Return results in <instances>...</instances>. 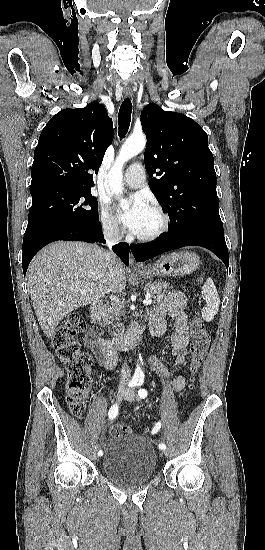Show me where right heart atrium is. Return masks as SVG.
Returning a JSON list of instances; mask_svg holds the SVG:
<instances>
[{
	"label": "right heart atrium",
	"mask_w": 265,
	"mask_h": 550,
	"mask_svg": "<svg viewBox=\"0 0 265 550\" xmlns=\"http://www.w3.org/2000/svg\"><path fill=\"white\" fill-rule=\"evenodd\" d=\"M100 223L105 233L111 237H118L121 233L117 219L111 214L107 204L102 203L100 208Z\"/></svg>",
	"instance_id": "1"
}]
</instances>
